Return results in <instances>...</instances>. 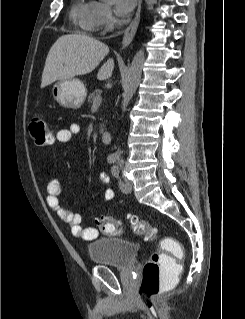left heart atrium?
Masks as SVG:
<instances>
[{
  "mask_svg": "<svg viewBox=\"0 0 245 319\" xmlns=\"http://www.w3.org/2000/svg\"><path fill=\"white\" fill-rule=\"evenodd\" d=\"M137 0H116L115 7L119 16H127L134 8Z\"/></svg>",
  "mask_w": 245,
  "mask_h": 319,
  "instance_id": "39dd6f15",
  "label": "left heart atrium"
}]
</instances>
